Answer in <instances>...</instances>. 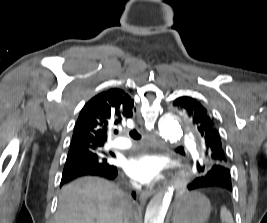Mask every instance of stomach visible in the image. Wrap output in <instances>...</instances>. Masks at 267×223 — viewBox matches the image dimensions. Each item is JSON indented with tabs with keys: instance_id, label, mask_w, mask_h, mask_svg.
<instances>
[{
	"instance_id": "1",
	"label": "stomach",
	"mask_w": 267,
	"mask_h": 223,
	"mask_svg": "<svg viewBox=\"0 0 267 223\" xmlns=\"http://www.w3.org/2000/svg\"><path fill=\"white\" fill-rule=\"evenodd\" d=\"M211 213L209 199L199 192L182 194L174 207L173 223H206Z\"/></svg>"
}]
</instances>
